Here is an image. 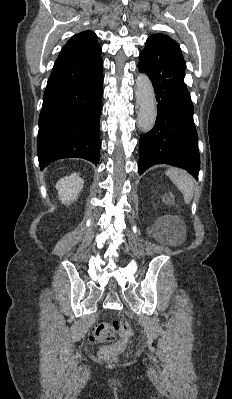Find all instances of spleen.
Listing matches in <instances>:
<instances>
[{"instance_id":"3e777b00","label":"spleen","mask_w":232,"mask_h":399,"mask_svg":"<svg viewBox=\"0 0 232 399\" xmlns=\"http://www.w3.org/2000/svg\"><path fill=\"white\" fill-rule=\"evenodd\" d=\"M168 178L172 180L173 184L177 186L178 190L182 192L186 203H190L194 196V180L190 174L185 170H178V168H169L166 172Z\"/></svg>"}]
</instances>
